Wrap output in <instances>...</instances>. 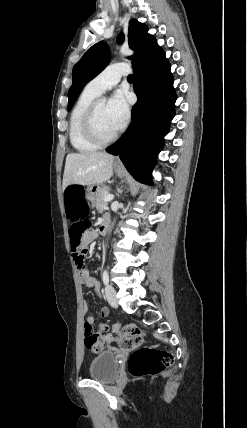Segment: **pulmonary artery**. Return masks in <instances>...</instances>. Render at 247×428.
Returning a JSON list of instances; mask_svg holds the SVG:
<instances>
[{"mask_svg":"<svg viewBox=\"0 0 247 428\" xmlns=\"http://www.w3.org/2000/svg\"><path fill=\"white\" fill-rule=\"evenodd\" d=\"M130 72V67L125 63H118L108 66L104 71L92 79L87 87L101 94L107 89L112 88L116 85L122 76L128 75Z\"/></svg>","mask_w":247,"mask_h":428,"instance_id":"pulmonary-artery-1","label":"pulmonary artery"}]
</instances>
